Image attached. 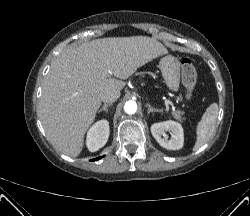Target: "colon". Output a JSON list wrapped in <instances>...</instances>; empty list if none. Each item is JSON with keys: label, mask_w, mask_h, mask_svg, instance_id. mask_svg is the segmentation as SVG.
Listing matches in <instances>:
<instances>
[{"label": "colon", "mask_w": 250, "mask_h": 216, "mask_svg": "<svg viewBox=\"0 0 250 216\" xmlns=\"http://www.w3.org/2000/svg\"><path fill=\"white\" fill-rule=\"evenodd\" d=\"M181 81L186 90L187 98H191L197 83V72L188 58H184L181 61Z\"/></svg>", "instance_id": "1"}]
</instances>
